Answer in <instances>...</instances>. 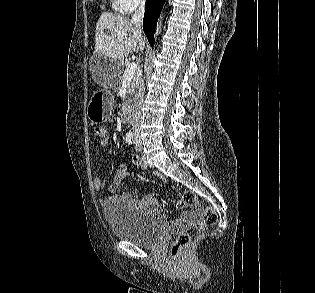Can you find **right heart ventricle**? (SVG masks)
Segmentation results:
<instances>
[{
  "mask_svg": "<svg viewBox=\"0 0 315 293\" xmlns=\"http://www.w3.org/2000/svg\"><path fill=\"white\" fill-rule=\"evenodd\" d=\"M113 6H114V8H115L116 10H118V11H123L122 8H121V6H120V4H119V2H118V0H113Z\"/></svg>",
  "mask_w": 315,
  "mask_h": 293,
  "instance_id": "e07e8e85",
  "label": "right heart ventricle"
}]
</instances>
